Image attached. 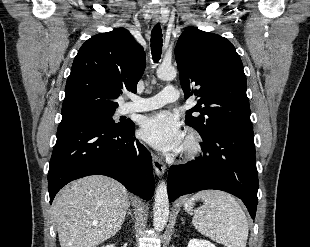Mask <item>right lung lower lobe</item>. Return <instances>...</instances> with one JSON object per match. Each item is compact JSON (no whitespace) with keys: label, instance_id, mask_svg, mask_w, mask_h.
<instances>
[{"label":"right lung lower lobe","instance_id":"right-lung-lower-lobe-1","mask_svg":"<svg viewBox=\"0 0 310 247\" xmlns=\"http://www.w3.org/2000/svg\"><path fill=\"white\" fill-rule=\"evenodd\" d=\"M135 124L121 127L102 120L61 122L48 172L50 203L72 180L105 175L150 200L154 191L152 157L134 137Z\"/></svg>","mask_w":310,"mask_h":247}]
</instances>
